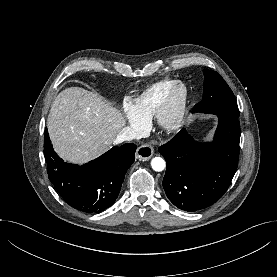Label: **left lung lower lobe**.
<instances>
[{"label":"left lung lower lobe","mask_w":277,"mask_h":277,"mask_svg":"<svg viewBox=\"0 0 277 277\" xmlns=\"http://www.w3.org/2000/svg\"><path fill=\"white\" fill-rule=\"evenodd\" d=\"M218 119L213 142L199 143L182 129L158 149L167 163L162 183L166 195L183 211L211 206L227 191L236 172L240 123L224 114Z\"/></svg>","instance_id":"obj_1"}]
</instances>
